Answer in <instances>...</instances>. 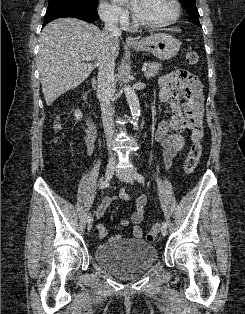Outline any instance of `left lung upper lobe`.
<instances>
[{"instance_id":"5c2ea615","label":"left lung upper lobe","mask_w":245,"mask_h":314,"mask_svg":"<svg viewBox=\"0 0 245 314\" xmlns=\"http://www.w3.org/2000/svg\"><path fill=\"white\" fill-rule=\"evenodd\" d=\"M186 9L189 18L188 21L201 27L199 22V13L196 7V0H179Z\"/></svg>"}]
</instances>
